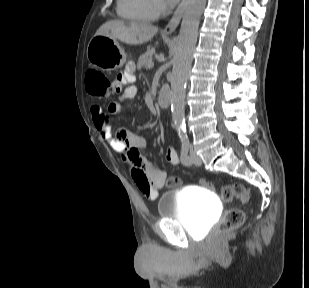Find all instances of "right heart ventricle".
<instances>
[{"label": "right heart ventricle", "instance_id": "right-heart-ventricle-1", "mask_svg": "<svg viewBox=\"0 0 309 288\" xmlns=\"http://www.w3.org/2000/svg\"><path fill=\"white\" fill-rule=\"evenodd\" d=\"M117 12L132 22H151L159 15L154 0H117Z\"/></svg>", "mask_w": 309, "mask_h": 288}]
</instances>
